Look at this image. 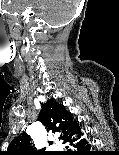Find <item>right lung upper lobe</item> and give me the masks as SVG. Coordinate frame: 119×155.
I'll return each instance as SVG.
<instances>
[{
    "label": "right lung upper lobe",
    "instance_id": "right-lung-upper-lobe-1",
    "mask_svg": "<svg viewBox=\"0 0 119 155\" xmlns=\"http://www.w3.org/2000/svg\"><path fill=\"white\" fill-rule=\"evenodd\" d=\"M38 121L47 131L60 132L64 142L79 129L78 122L71 113L67 112L64 105L57 103L55 99L47 100L43 105ZM4 155H51V153L44 150L34 151L29 135L23 132L10 143Z\"/></svg>",
    "mask_w": 119,
    "mask_h": 155
}]
</instances>
